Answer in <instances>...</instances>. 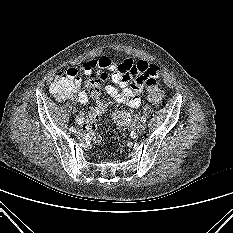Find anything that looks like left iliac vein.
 Wrapping results in <instances>:
<instances>
[{
    "mask_svg": "<svg viewBox=\"0 0 233 233\" xmlns=\"http://www.w3.org/2000/svg\"><path fill=\"white\" fill-rule=\"evenodd\" d=\"M145 129H146V125L142 123L137 127V132L142 133Z\"/></svg>",
    "mask_w": 233,
    "mask_h": 233,
    "instance_id": "1",
    "label": "left iliac vein"
}]
</instances>
